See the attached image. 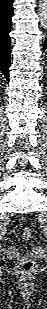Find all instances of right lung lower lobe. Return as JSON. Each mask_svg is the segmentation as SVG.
Masks as SVG:
<instances>
[{
  "label": "right lung lower lobe",
  "instance_id": "obj_1",
  "mask_svg": "<svg viewBox=\"0 0 47 309\" xmlns=\"http://www.w3.org/2000/svg\"><path fill=\"white\" fill-rule=\"evenodd\" d=\"M13 0H0V71L9 80Z\"/></svg>",
  "mask_w": 47,
  "mask_h": 309
}]
</instances>
